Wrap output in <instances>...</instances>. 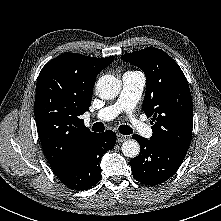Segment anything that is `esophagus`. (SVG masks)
I'll return each instance as SVG.
<instances>
[{"label": "esophagus", "instance_id": "34e87169", "mask_svg": "<svg viewBox=\"0 0 221 221\" xmlns=\"http://www.w3.org/2000/svg\"><path fill=\"white\" fill-rule=\"evenodd\" d=\"M116 138H117V142H123L127 139L125 135H122L120 133H117Z\"/></svg>", "mask_w": 221, "mask_h": 221}]
</instances>
